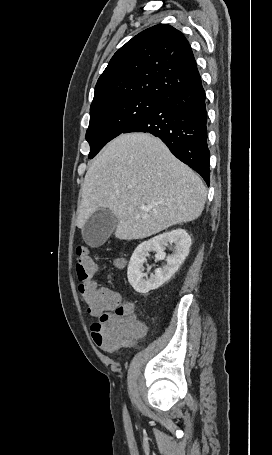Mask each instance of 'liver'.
Wrapping results in <instances>:
<instances>
[{"label":"liver","instance_id":"6515ba94","mask_svg":"<svg viewBox=\"0 0 272 455\" xmlns=\"http://www.w3.org/2000/svg\"><path fill=\"white\" fill-rule=\"evenodd\" d=\"M81 197L79 228L95 211L106 208L117 218L115 237L136 240L197 219L207 190L201 178L160 139L148 133H128L113 139L95 157Z\"/></svg>","mask_w":272,"mask_h":455}]
</instances>
